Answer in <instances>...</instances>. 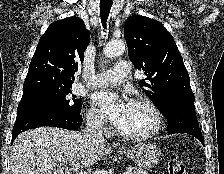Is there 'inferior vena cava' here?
Instances as JSON below:
<instances>
[{"mask_svg":"<svg viewBox=\"0 0 224 174\" xmlns=\"http://www.w3.org/2000/svg\"><path fill=\"white\" fill-rule=\"evenodd\" d=\"M102 121L98 118H90L87 120L86 128L83 135L91 142L102 144L104 143V136L102 131Z\"/></svg>","mask_w":224,"mask_h":174,"instance_id":"602c4592","label":"inferior vena cava"}]
</instances>
